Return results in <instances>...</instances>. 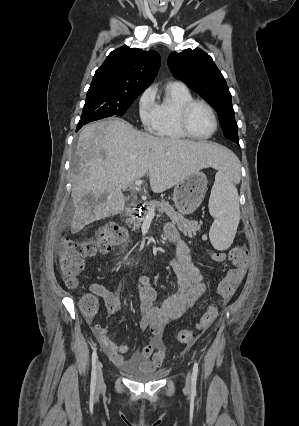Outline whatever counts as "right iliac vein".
Returning a JSON list of instances; mask_svg holds the SVG:
<instances>
[{
	"label": "right iliac vein",
	"mask_w": 299,
	"mask_h": 426,
	"mask_svg": "<svg viewBox=\"0 0 299 426\" xmlns=\"http://www.w3.org/2000/svg\"><path fill=\"white\" fill-rule=\"evenodd\" d=\"M97 385L100 387L104 383L103 372H102V364L100 361L97 362Z\"/></svg>",
	"instance_id": "63e3f726"
}]
</instances>
